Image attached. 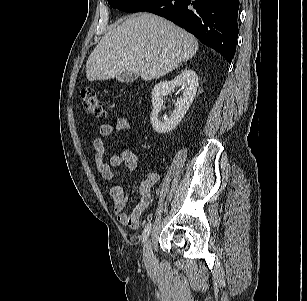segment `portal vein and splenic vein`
Masks as SVG:
<instances>
[{"mask_svg":"<svg viewBox=\"0 0 307 301\" xmlns=\"http://www.w3.org/2000/svg\"><path fill=\"white\" fill-rule=\"evenodd\" d=\"M147 61H151V58H146Z\"/></svg>","mask_w":307,"mask_h":301,"instance_id":"obj_1","label":"portal vein and splenic vein"}]
</instances>
